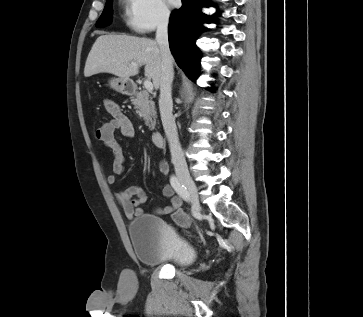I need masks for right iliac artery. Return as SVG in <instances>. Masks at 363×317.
<instances>
[{"mask_svg":"<svg viewBox=\"0 0 363 317\" xmlns=\"http://www.w3.org/2000/svg\"><path fill=\"white\" fill-rule=\"evenodd\" d=\"M171 186L174 188L176 193L185 201L190 202V196L186 187L180 183L176 176H171L170 178Z\"/></svg>","mask_w":363,"mask_h":317,"instance_id":"right-iliac-artery-1","label":"right iliac artery"}]
</instances>
